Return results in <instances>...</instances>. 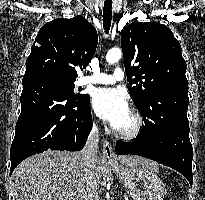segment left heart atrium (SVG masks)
<instances>
[{
	"label": "left heart atrium",
	"instance_id": "39dd6f15",
	"mask_svg": "<svg viewBox=\"0 0 205 200\" xmlns=\"http://www.w3.org/2000/svg\"><path fill=\"white\" fill-rule=\"evenodd\" d=\"M92 107L94 112L114 129H117L130 113L126 96L114 88L97 89L93 94Z\"/></svg>",
	"mask_w": 205,
	"mask_h": 200
}]
</instances>
